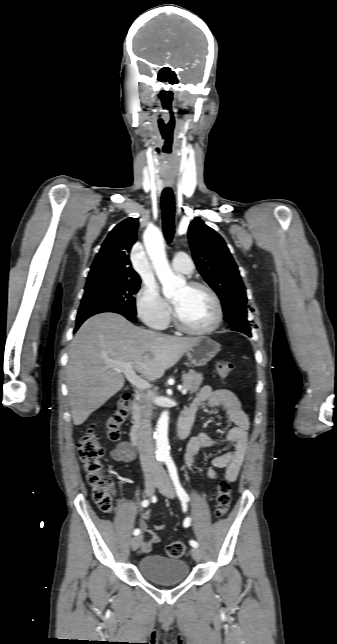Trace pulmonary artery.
I'll list each match as a JSON object with an SVG mask.
<instances>
[{"instance_id":"obj_1","label":"pulmonary artery","mask_w":337,"mask_h":644,"mask_svg":"<svg viewBox=\"0 0 337 644\" xmlns=\"http://www.w3.org/2000/svg\"><path fill=\"white\" fill-rule=\"evenodd\" d=\"M172 268L179 273L189 274L193 271V263L185 253H178L172 260Z\"/></svg>"}]
</instances>
